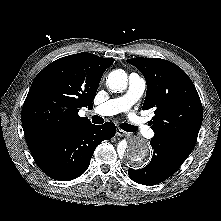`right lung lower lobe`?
I'll return each mask as SVG.
<instances>
[{"label":"right lung lower lobe","mask_w":221,"mask_h":221,"mask_svg":"<svg viewBox=\"0 0 221 221\" xmlns=\"http://www.w3.org/2000/svg\"><path fill=\"white\" fill-rule=\"evenodd\" d=\"M115 132L116 127L110 122L88 124L34 141L28 148L47 176L69 181L87 170L97 145L111 139Z\"/></svg>","instance_id":"obj_1"}]
</instances>
